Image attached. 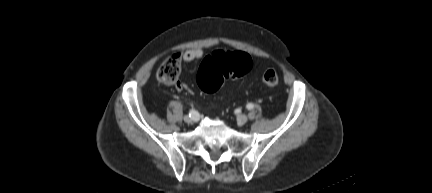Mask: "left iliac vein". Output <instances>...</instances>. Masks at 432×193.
<instances>
[{
  "mask_svg": "<svg viewBox=\"0 0 432 193\" xmlns=\"http://www.w3.org/2000/svg\"><path fill=\"white\" fill-rule=\"evenodd\" d=\"M247 121H248V117H247V115H245V114H239V115L237 116V122H238V124L243 125V124H245Z\"/></svg>",
  "mask_w": 432,
  "mask_h": 193,
  "instance_id": "left-iliac-vein-1",
  "label": "left iliac vein"
}]
</instances>
